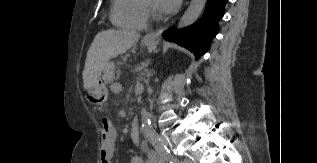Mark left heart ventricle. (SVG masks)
<instances>
[{"instance_id":"left-heart-ventricle-1","label":"left heart ventricle","mask_w":317,"mask_h":163,"mask_svg":"<svg viewBox=\"0 0 317 163\" xmlns=\"http://www.w3.org/2000/svg\"><path fill=\"white\" fill-rule=\"evenodd\" d=\"M147 3L151 5V7L154 9V0H146Z\"/></svg>"}]
</instances>
